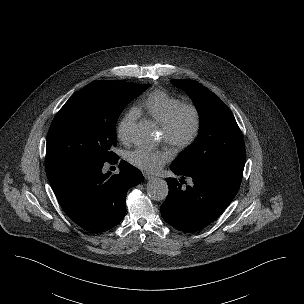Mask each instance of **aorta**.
I'll list each match as a JSON object with an SVG mask.
<instances>
[{
    "label": "aorta",
    "mask_w": 304,
    "mask_h": 304,
    "mask_svg": "<svg viewBox=\"0 0 304 304\" xmlns=\"http://www.w3.org/2000/svg\"><path fill=\"white\" fill-rule=\"evenodd\" d=\"M134 142L137 145H148L151 143V131L147 124H139L134 132ZM168 185L161 178H152L147 183V194L156 201L166 199L168 195Z\"/></svg>",
    "instance_id": "1"
}]
</instances>
